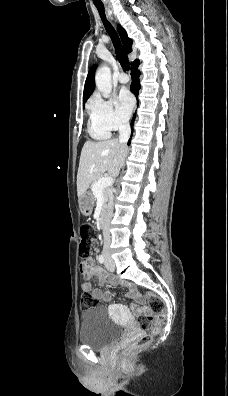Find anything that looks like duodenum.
Instances as JSON below:
<instances>
[{
    "label": "duodenum",
    "mask_w": 228,
    "mask_h": 396,
    "mask_svg": "<svg viewBox=\"0 0 228 396\" xmlns=\"http://www.w3.org/2000/svg\"><path fill=\"white\" fill-rule=\"evenodd\" d=\"M104 212H105V208L103 207L102 211H101V215L99 217V227L102 230L103 234L106 236L108 230H107V226H106V219H105Z\"/></svg>",
    "instance_id": "obj_1"
}]
</instances>
